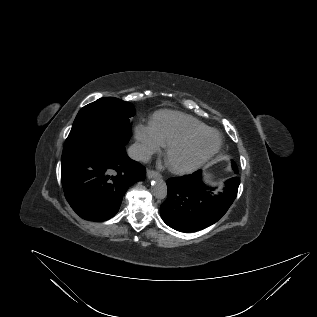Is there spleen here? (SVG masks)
I'll return each instance as SVG.
<instances>
[{
  "label": "spleen",
  "instance_id": "3e777b00",
  "mask_svg": "<svg viewBox=\"0 0 317 317\" xmlns=\"http://www.w3.org/2000/svg\"><path fill=\"white\" fill-rule=\"evenodd\" d=\"M205 177L207 181H211L212 179V176L210 174H206Z\"/></svg>",
  "mask_w": 317,
  "mask_h": 317
}]
</instances>
